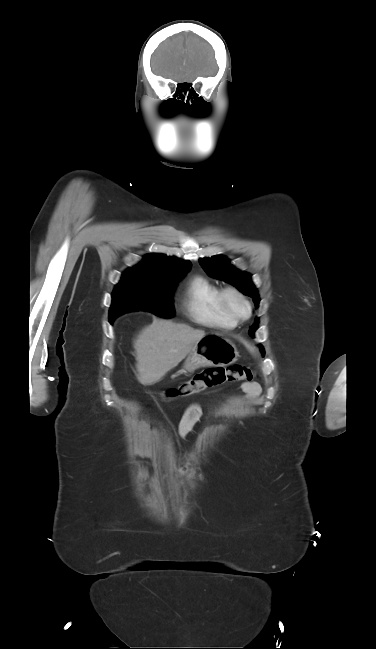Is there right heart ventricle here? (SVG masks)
<instances>
[{"mask_svg":"<svg viewBox=\"0 0 376 649\" xmlns=\"http://www.w3.org/2000/svg\"><path fill=\"white\" fill-rule=\"evenodd\" d=\"M221 288L202 275L186 283L181 297L182 308L195 322L222 329H231L237 321L224 310L220 300Z\"/></svg>","mask_w":376,"mask_h":649,"instance_id":"right-heart-ventricle-1","label":"right heart ventricle"}]
</instances>
